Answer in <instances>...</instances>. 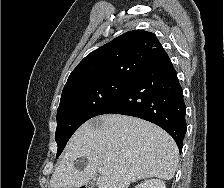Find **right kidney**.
<instances>
[{"instance_id":"1","label":"right kidney","mask_w":224,"mask_h":188,"mask_svg":"<svg viewBox=\"0 0 224 188\" xmlns=\"http://www.w3.org/2000/svg\"><path fill=\"white\" fill-rule=\"evenodd\" d=\"M135 188H166L165 182L160 179L145 180L138 184Z\"/></svg>"}]
</instances>
